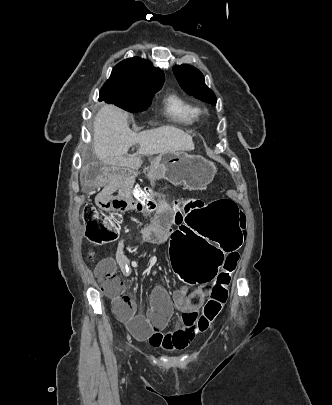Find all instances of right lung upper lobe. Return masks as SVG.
<instances>
[{
    "instance_id": "cb5924a9",
    "label": "right lung upper lobe",
    "mask_w": 332,
    "mask_h": 405,
    "mask_svg": "<svg viewBox=\"0 0 332 405\" xmlns=\"http://www.w3.org/2000/svg\"><path fill=\"white\" fill-rule=\"evenodd\" d=\"M110 77L123 78L136 85L159 86L164 82L163 71L153 67L150 61L139 57L127 58L118 63Z\"/></svg>"
}]
</instances>
